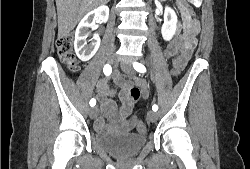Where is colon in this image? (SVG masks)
<instances>
[{"label":"colon","instance_id":"obj_1","mask_svg":"<svg viewBox=\"0 0 250 169\" xmlns=\"http://www.w3.org/2000/svg\"><path fill=\"white\" fill-rule=\"evenodd\" d=\"M180 6L186 10V13H193V7L190 5V3H187V0H180ZM193 17L192 15L190 16ZM73 34H66L65 36H60L56 38V50L59 56V59L61 62L72 72H75L78 70V61L76 58V55L73 51ZM193 40V38H192ZM170 74H172V77L175 79L176 77H179V69L177 67L170 69ZM131 98L134 101H138L140 98V90L139 89H133L130 92ZM137 129L139 132H144L146 127L145 125L138 121L137 122Z\"/></svg>","mask_w":250,"mask_h":169}]
</instances>
